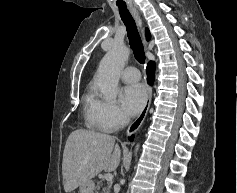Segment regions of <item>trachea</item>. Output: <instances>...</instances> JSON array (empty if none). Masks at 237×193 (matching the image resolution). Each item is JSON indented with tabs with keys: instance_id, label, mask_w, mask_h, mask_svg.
I'll return each mask as SVG.
<instances>
[{
	"instance_id": "3493384b",
	"label": "trachea",
	"mask_w": 237,
	"mask_h": 193,
	"mask_svg": "<svg viewBox=\"0 0 237 193\" xmlns=\"http://www.w3.org/2000/svg\"><path fill=\"white\" fill-rule=\"evenodd\" d=\"M119 13L123 23L126 26L129 43L133 50L135 58L140 64H144V48L135 21L126 6H119Z\"/></svg>"
}]
</instances>
